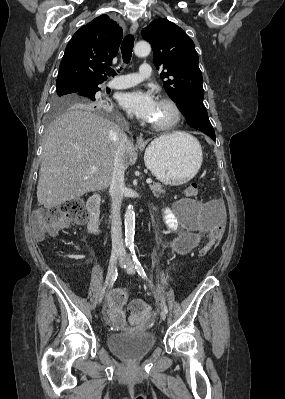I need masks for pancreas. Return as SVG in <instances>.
Here are the masks:
<instances>
[{
	"mask_svg": "<svg viewBox=\"0 0 285 399\" xmlns=\"http://www.w3.org/2000/svg\"><path fill=\"white\" fill-rule=\"evenodd\" d=\"M150 189L155 197H160L161 194H164L165 191L163 190V186L160 183H153L150 185Z\"/></svg>",
	"mask_w": 285,
	"mask_h": 399,
	"instance_id": "pancreas-1",
	"label": "pancreas"
}]
</instances>
